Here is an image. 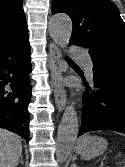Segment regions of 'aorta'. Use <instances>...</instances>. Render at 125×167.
I'll list each match as a JSON object with an SVG mask.
<instances>
[{
	"label": "aorta",
	"instance_id": "obj_1",
	"mask_svg": "<svg viewBox=\"0 0 125 167\" xmlns=\"http://www.w3.org/2000/svg\"><path fill=\"white\" fill-rule=\"evenodd\" d=\"M48 29L51 38L58 46L64 48L69 43L72 22L67 15L52 16L49 20ZM78 131L77 113L73 105H70L64 111L57 132L56 158L59 162H65L69 157L76 142Z\"/></svg>",
	"mask_w": 125,
	"mask_h": 167
}]
</instances>
